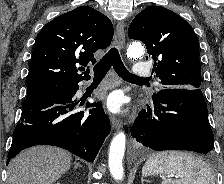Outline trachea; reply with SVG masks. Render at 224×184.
Here are the masks:
<instances>
[{"instance_id": "obj_1", "label": "trachea", "mask_w": 224, "mask_h": 184, "mask_svg": "<svg viewBox=\"0 0 224 184\" xmlns=\"http://www.w3.org/2000/svg\"><path fill=\"white\" fill-rule=\"evenodd\" d=\"M111 66H113L115 72L126 81H147V78L136 77L126 69L116 48H111L94 66V79H103Z\"/></svg>"}]
</instances>
